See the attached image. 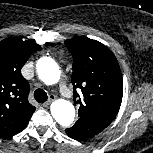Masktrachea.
<instances>
[{"label":"trachea","mask_w":153,"mask_h":153,"mask_svg":"<svg viewBox=\"0 0 153 153\" xmlns=\"http://www.w3.org/2000/svg\"><path fill=\"white\" fill-rule=\"evenodd\" d=\"M34 98L37 102L44 103L47 100L48 96L43 89L38 88L34 91Z\"/></svg>","instance_id":"1"}]
</instances>
